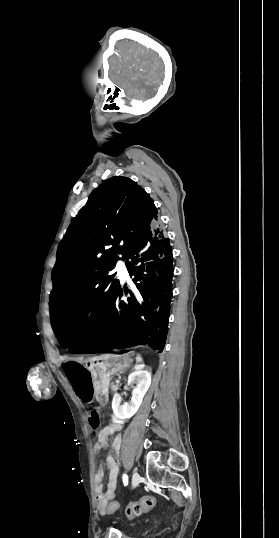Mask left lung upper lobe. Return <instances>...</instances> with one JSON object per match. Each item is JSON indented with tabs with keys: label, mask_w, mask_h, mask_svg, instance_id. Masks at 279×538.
<instances>
[{
	"label": "left lung upper lobe",
	"mask_w": 279,
	"mask_h": 538,
	"mask_svg": "<svg viewBox=\"0 0 279 538\" xmlns=\"http://www.w3.org/2000/svg\"><path fill=\"white\" fill-rule=\"evenodd\" d=\"M156 216L149 194L127 177L109 178L91 193L57 249L50 302L57 338L64 332L89 336L98 328L120 288L109 275L117 254L127 258Z\"/></svg>",
	"instance_id": "5c2ea615"
}]
</instances>
